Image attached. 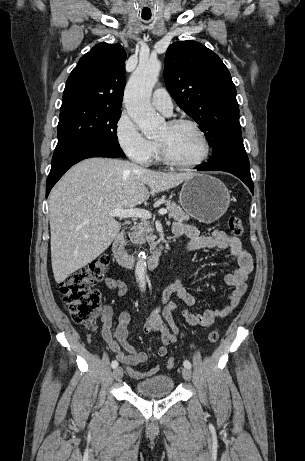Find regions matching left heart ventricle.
Returning a JSON list of instances; mask_svg holds the SVG:
<instances>
[{"label":"left heart ventricle","instance_id":"left-heart-ventricle-1","mask_svg":"<svg viewBox=\"0 0 305 461\" xmlns=\"http://www.w3.org/2000/svg\"><path fill=\"white\" fill-rule=\"evenodd\" d=\"M158 141L163 142L169 153L178 161L193 162L203 153V143L194 128L189 125L163 128Z\"/></svg>","mask_w":305,"mask_h":461}]
</instances>
